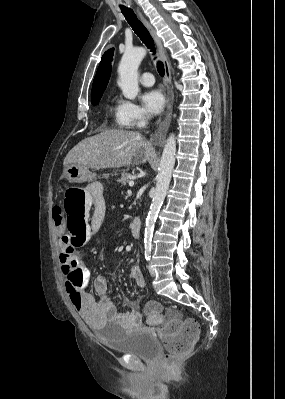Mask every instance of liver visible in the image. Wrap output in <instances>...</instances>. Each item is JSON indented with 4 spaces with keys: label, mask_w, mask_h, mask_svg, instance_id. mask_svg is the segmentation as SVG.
<instances>
[{
    "label": "liver",
    "mask_w": 285,
    "mask_h": 399,
    "mask_svg": "<svg viewBox=\"0 0 285 399\" xmlns=\"http://www.w3.org/2000/svg\"><path fill=\"white\" fill-rule=\"evenodd\" d=\"M153 153L151 144L146 143L135 131L111 129L79 142L66 155L63 165H78L85 168L111 169L128 166L136 152ZM145 161L143 153L136 163Z\"/></svg>",
    "instance_id": "obj_1"
}]
</instances>
